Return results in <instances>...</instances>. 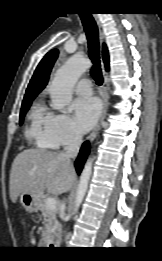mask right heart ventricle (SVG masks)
Listing matches in <instances>:
<instances>
[{
  "label": "right heart ventricle",
  "mask_w": 162,
  "mask_h": 261,
  "mask_svg": "<svg viewBox=\"0 0 162 261\" xmlns=\"http://www.w3.org/2000/svg\"><path fill=\"white\" fill-rule=\"evenodd\" d=\"M51 114L41 102L36 103L28 115L27 135L42 148H52V144L45 133V127Z\"/></svg>",
  "instance_id": "1"
}]
</instances>
